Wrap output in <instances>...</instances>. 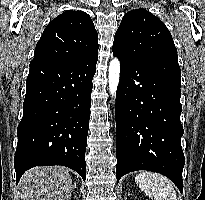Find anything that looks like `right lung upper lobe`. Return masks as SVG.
I'll return each instance as SVG.
<instances>
[{
	"instance_id": "obj_1",
	"label": "right lung upper lobe",
	"mask_w": 205,
	"mask_h": 200,
	"mask_svg": "<svg viewBox=\"0 0 205 200\" xmlns=\"http://www.w3.org/2000/svg\"><path fill=\"white\" fill-rule=\"evenodd\" d=\"M98 51V34L90 16L68 10L53 19L36 45L33 61L70 62Z\"/></svg>"
}]
</instances>
